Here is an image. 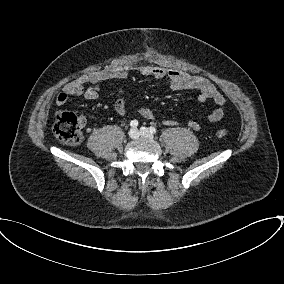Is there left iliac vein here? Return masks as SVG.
I'll list each match as a JSON object with an SVG mask.
<instances>
[{
    "mask_svg": "<svg viewBox=\"0 0 284 284\" xmlns=\"http://www.w3.org/2000/svg\"><path fill=\"white\" fill-rule=\"evenodd\" d=\"M139 132H140V135L143 136V137L150 138V139L153 138V134L146 127H141Z\"/></svg>",
    "mask_w": 284,
    "mask_h": 284,
    "instance_id": "4c4485c4",
    "label": "left iliac vein"
}]
</instances>
